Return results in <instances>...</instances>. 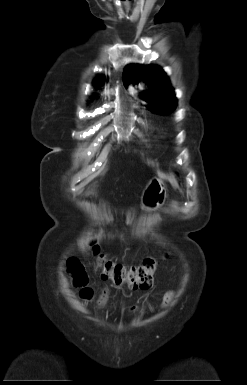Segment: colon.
<instances>
[{"instance_id": "colon-1", "label": "colon", "mask_w": 247, "mask_h": 385, "mask_svg": "<svg viewBox=\"0 0 247 385\" xmlns=\"http://www.w3.org/2000/svg\"><path fill=\"white\" fill-rule=\"evenodd\" d=\"M90 247L96 261V268L103 279L118 286L126 285L133 290L147 289L152 285L157 266V260L153 256L145 257L140 265L126 266L108 259L94 243ZM69 272L74 285L81 289L82 297L90 298L91 290L86 287L87 275L82 265L76 260L70 261Z\"/></svg>"}]
</instances>
